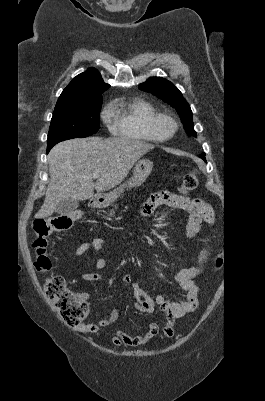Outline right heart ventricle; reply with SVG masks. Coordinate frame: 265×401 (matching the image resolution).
<instances>
[{"mask_svg":"<svg viewBox=\"0 0 265 401\" xmlns=\"http://www.w3.org/2000/svg\"><path fill=\"white\" fill-rule=\"evenodd\" d=\"M111 115L116 117V130L123 136L158 141L152 130V120L158 109L144 98L121 94L110 104Z\"/></svg>","mask_w":265,"mask_h":401,"instance_id":"1","label":"right heart ventricle"}]
</instances>
